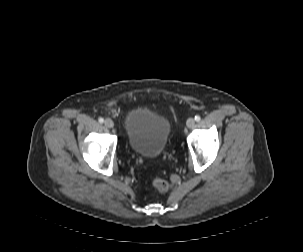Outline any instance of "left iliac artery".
<instances>
[{
  "label": "left iliac artery",
  "instance_id": "1",
  "mask_svg": "<svg viewBox=\"0 0 303 252\" xmlns=\"http://www.w3.org/2000/svg\"><path fill=\"white\" fill-rule=\"evenodd\" d=\"M195 120H196V121H200V120H201V117H200L199 115H196V116H195Z\"/></svg>",
  "mask_w": 303,
  "mask_h": 252
}]
</instances>
